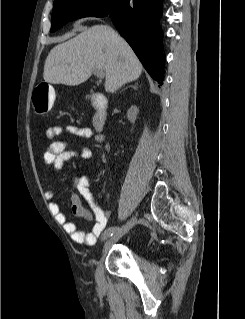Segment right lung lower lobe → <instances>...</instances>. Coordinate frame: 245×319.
<instances>
[{"instance_id": "1", "label": "right lung lower lobe", "mask_w": 245, "mask_h": 319, "mask_svg": "<svg viewBox=\"0 0 245 319\" xmlns=\"http://www.w3.org/2000/svg\"><path fill=\"white\" fill-rule=\"evenodd\" d=\"M129 2L120 0L109 16L151 77L162 84L165 62L159 25L162 0H133L131 5Z\"/></svg>"}]
</instances>
